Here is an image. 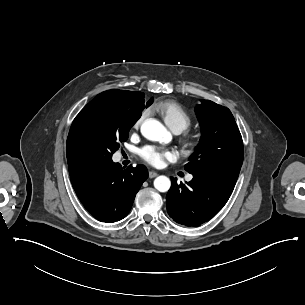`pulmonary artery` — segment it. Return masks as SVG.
<instances>
[{
	"instance_id": "e3ab8cb5",
	"label": "pulmonary artery",
	"mask_w": 305,
	"mask_h": 305,
	"mask_svg": "<svg viewBox=\"0 0 305 305\" xmlns=\"http://www.w3.org/2000/svg\"><path fill=\"white\" fill-rule=\"evenodd\" d=\"M174 133H175V134H179V133H181V132H180L179 130H175ZM186 179H187V181H191V180L193 179V175H188V176L186 177Z\"/></svg>"
}]
</instances>
